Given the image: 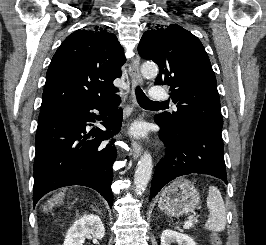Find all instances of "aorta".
Instances as JSON below:
<instances>
[{
  "label": "aorta",
  "instance_id": "1",
  "mask_svg": "<svg viewBox=\"0 0 266 245\" xmlns=\"http://www.w3.org/2000/svg\"><path fill=\"white\" fill-rule=\"evenodd\" d=\"M142 76H157L158 66L157 64H152V62H144L141 66ZM153 161L150 153H144L142 155L137 169L134 175V185L135 193L137 195H142L144 193L152 175Z\"/></svg>",
  "mask_w": 266,
  "mask_h": 245
}]
</instances>
